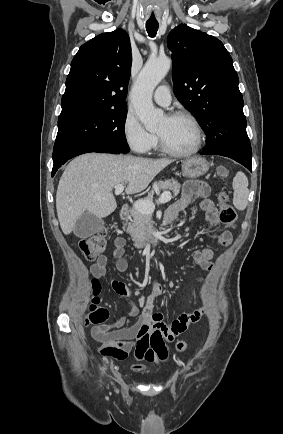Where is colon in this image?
Segmentation results:
<instances>
[{"instance_id":"5ec220e1","label":"colon","mask_w":283,"mask_h":434,"mask_svg":"<svg viewBox=\"0 0 283 434\" xmlns=\"http://www.w3.org/2000/svg\"><path fill=\"white\" fill-rule=\"evenodd\" d=\"M219 173L221 175H225L226 170L224 168H220ZM218 199L220 204V221L228 226L233 227L237 221V212L235 208L228 202V198L225 193H221ZM106 244V232L105 230H100L91 236L82 238L79 241V248L87 260L93 261L104 252ZM92 291L93 298L89 305L88 315L85 321L87 325L99 326L106 322L109 312L107 309L99 306L98 294L100 291V283L96 279L92 280ZM186 348L187 343L185 341L181 340L177 342L176 349L179 352L184 351Z\"/></svg>"}]
</instances>
